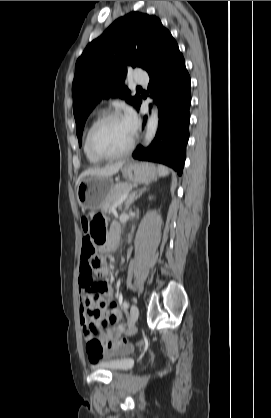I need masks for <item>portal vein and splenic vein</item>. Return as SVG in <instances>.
I'll list each match as a JSON object with an SVG mask.
<instances>
[{
    "label": "portal vein and splenic vein",
    "mask_w": 271,
    "mask_h": 418,
    "mask_svg": "<svg viewBox=\"0 0 271 418\" xmlns=\"http://www.w3.org/2000/svg\"><path fill=\"white\" fill-rule=\"evenodd\" d=\"M127 197H128V193L122 195L119 201L111 208L110 213L114 212L117 206H119L124 200H126Z\"/></svg>",
    "instance_id": "1"
}]
</instances>
